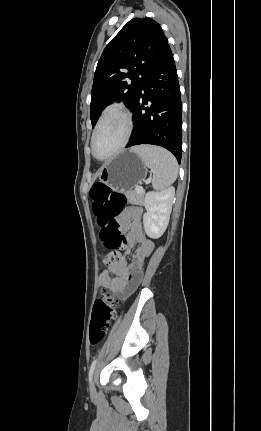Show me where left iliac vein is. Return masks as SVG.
Listing matches in <instances>:
<instances>
[{"instance_id":"obj_1","label":"left iliac vein","mask_w":261,"mask_h":431,"mask_svg":"<svg viewBox=\"0 0 261 431\" xmlns=\"http://www.w3.org/2000/svg\"><path fill=\"white\" fill-rule=\"evenodd\" d=\"M90 392H91V394H95V392H96V389H95L93 381L90 382Z\"/></svg>"}]
</instances>
